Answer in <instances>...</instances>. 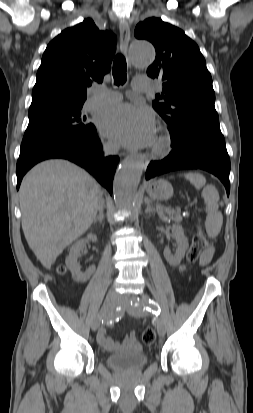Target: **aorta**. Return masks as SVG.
I'll list each match as a JSON object with an SVG mask.
<instances>
[{
	"label": "aorta",
	"instance_id": "1",
	"mask_svg": "<svg viewBox=\"0 0 253 413\" xmlns=\"http://www.w3.org/2000/svg\"><path fill=\"white\" fill-rule=\"evenodd\" d=\"M129 54L136 66L146 68L155 57L151 43L134 40L129 47ZM144 163L137 156L127 157L116 172L113 184L114 201L118 208H133L137 188L141 179Z\"/></svg>",
	"mask_w": 253,
	"mask_h": 413
}]
</instances>
